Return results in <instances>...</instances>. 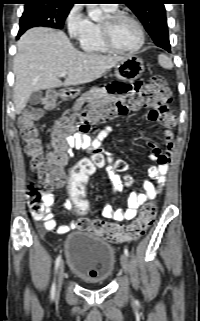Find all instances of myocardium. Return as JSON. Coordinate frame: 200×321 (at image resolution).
I'll list each match as a JSON object with an SVG mask.
<instances>
[{"mask_svg":"<svg viewBox=\"0 0 200 321\" xmlns=\"http://www.w3.org/2000/svg\"><path fill=\"white\" fill-rule=\"evenodd\" d=\"M122 18H127L131 20L136 25L139 32V36H140L139 43L136 47L130 50L120 49L119 47L116 46L113 40V35H112L113 26L118 20ZM100 30H101L102 41L106 46V48L110 52L117 53V54H122V55L135 54L141 50V48L144 46L146 41L145 31L140 21L134 15L125 11H115V12L109 13L106 17V21L100 24Z\"/></svg>","mask_w":200,"mask_h":321,"instance_id":"myocardium-1","label":"myocardium"}]
</instances>
